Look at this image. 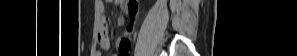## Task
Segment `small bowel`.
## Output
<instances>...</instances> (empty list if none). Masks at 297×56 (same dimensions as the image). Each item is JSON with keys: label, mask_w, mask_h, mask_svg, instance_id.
Instances as JSON below:
<instances>
[{"label": "small bowel", "mask_w": 297, "mask_h": 56, "mask_svg": "<svg viewBox=\"0 0 297 56\" xmlns=\"http://www.w3.org/2000/svg\"><path fill=\"white\" fill-rule=\"evenodd\" d=\"M106 2L111 3L112 1L109 0ZM119 5L123 11L128 12L131 16H135L137 14L138 6L135 1L121 0L119 2ZM101 7H102V11H104L105 10L104 2L101 3ZM131 29H132V26H129L128 30L130 31ZM97 38H98L99 45L103 50H108L110 48L109 29H108L106 18L104 16H102L100 20V27H99ZM116 47L118 49L117 56H129L128 50L130 48V42L126 36H122L117 39ZM101 55L102 53L100 51L96 52V56H101Z\"/></svg>", "instance_id": "1"}]
</instances>
